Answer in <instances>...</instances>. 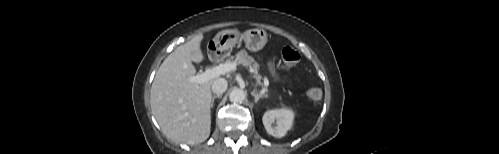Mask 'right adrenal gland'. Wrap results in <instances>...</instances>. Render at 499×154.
<instances>
[{
    "instance_id": "1",
    "label": "right adrenal gland",
    "mask_w": 499,
    "mask_h": 154,
    "mask_svg": "<svg viewBox=\"0 0 499 154\" xmlns=\"http://www.w3.org/2000/svg\"><path fill=\"white\" fill-rule=\"evenodd\" d=\"M221 96H222V95H214V96L212 97V100H211V105H210V107H211V108H213V106H214V101H215V99H216V98H221Z\"/></svg>"
}]
</instances>
